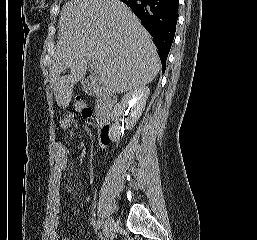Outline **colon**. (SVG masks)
I'll list each match as a JSON object with an SVG mask.
<instances>
[{
    "instance_id": "colon-1",
    "label": "colon",
    "mask_w": 257,
    "mask_h": 240,
    "mask_svg": "<svg viewBox=\"0 0 257 240\" xmlns=\"http://www.w3.org/2000/svg\"><path fill=\"white\" fill-rule=\"evenodd\" d=\"M74 109L76 112L80 113L83 117H90L92 115V109L79 99H77L74 102ZM73 119H74V114L70 113L67 115L65 123H68Z\"/></svg>"
}]
</instances>
